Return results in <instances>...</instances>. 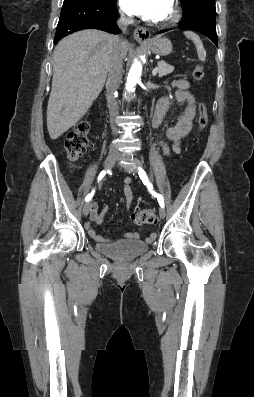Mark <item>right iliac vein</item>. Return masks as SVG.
I'll return each instance as SVG.
<instances>
[{
    "instance_id": "63e3f726",
    "label": "right iliac vein",
    "mask_w": 254,
    "mask_h": 397,
    "mask_svg": "<svg viewBox=\"0 0 254 397\" xmlns=\"http://www.w3.org/2000/svg\"><path fill=\"white\" fill-rule=\"evenodd\" d=\"M118 159H119L118 153H115V152L110 153L105 160V164H104L105 169L109 170ZM91 205H92L91 202H87L84 205V207H83V215L84 216H87L89 214Z\"/></svg>"
}]
</instances>
